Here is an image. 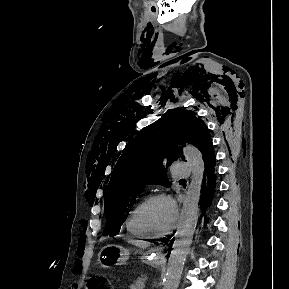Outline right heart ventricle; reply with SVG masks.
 Listing matches in <instances>:
<instances>
[{
  "mask_svg": "<svg viewBox=\"0 0 289 289\" xmlns=\"http://www.w3.org/2000/svg\"><path fill=\"white\" fill-rule=\"evenodd\" d=\"M144 200L140 201L128 214L126 221H125V228L126 231L137 238H149L138 226L136 216L137 211Z\"/></svg>",
  "mask_w": 289,
  "mask_h": 289,
  "instance_id": "1",
  "label": "right heart ventricle"
}]
</instances>
